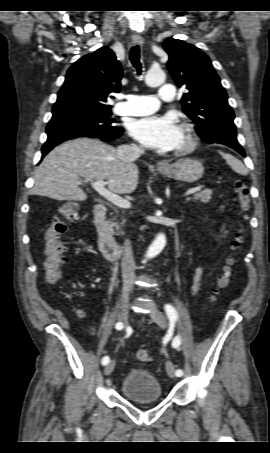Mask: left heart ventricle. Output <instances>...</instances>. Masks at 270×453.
Masks as SVG:
<instances>
[{
  "mask_svg": "<svg viewBox=\"0 0 270 453\" xmlns=\"http://www.w3.org/2000/svg\"><path fill=\"white\" fill-rule=\"evenodd\" d=\"M182 143H183V138H182L181 142L179 143L178 147H179V146H181V145H182Z\"/></svg>",
  "mask_w": 270,
  "mask_h": 453,
  "instance_id": "left-heart-ventricle-1",
  "label": "left heart ventricle"
}]
</instances>
